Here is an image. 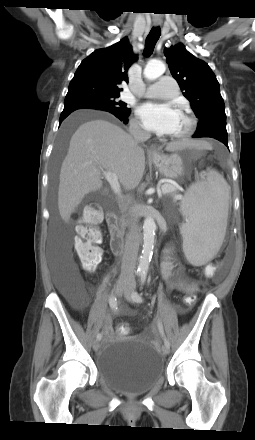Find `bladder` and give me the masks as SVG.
Returning <instances> with one entry per match:
<instances>
[{
  "label": "bladder",
  "mask_w": 255,
  "mask_h": 440,
  "mask_svg": "<svg viewBox=\"0 0 255 440\" xmlns=\"http://www.w3.org/2000/svg\"><path fill=\"white\" fill-rule=\"evenodd\" d=\"M165 362L149 343L135 337L108 339L97 359L99 378L118 392L139 395L162 377Z\"/></svg>",
  "instance_id": "bladder-1"
}]
</instances>
